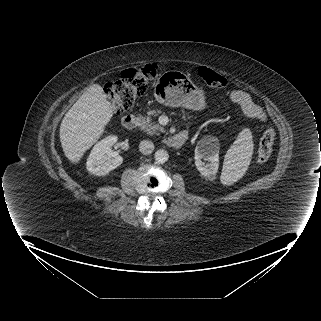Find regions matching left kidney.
Segmentation results:
<instances>
[{"label": "left kidney", "mask_w": 321, "mask_h": 321, "mask_svg": "<svg viewBox=\"0 0 321 321\" xmlns=\"http://www.w3.org/2000/svg\"><path fill=\"white\" fill-rule=\"evenodd\" d=\"M208 160L204 164L201 160ZM195 165L201 175L213 177L219 168V143L214 137L208 136L200 140L195 148ZM245 173V172H244Z\"/></svg>", "instance_id": "1"}]
</instances>
